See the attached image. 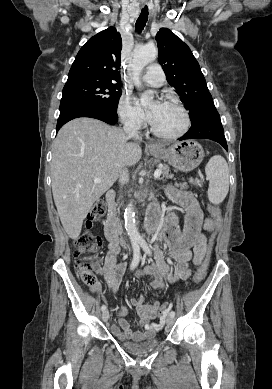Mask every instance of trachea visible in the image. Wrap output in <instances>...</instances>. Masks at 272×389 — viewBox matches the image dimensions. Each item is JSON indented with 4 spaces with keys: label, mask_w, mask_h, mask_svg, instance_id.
I'll list each match as a JSON object with an SVG mask.
<instances>
[{
    "label": "trachea",
    "mask_w": 272,
    "mask_h": 389,
    "mask_svg": "<svg viewBox=\"0 0 272 389\" xmlns=\"http://www.w3.org/2000/svg\"><path fill=\"white\" fill-rule=\"evenodd\" d=\"M147 19H148V7L145 6L144 8H142L141 13L136 21V30L138 32H141L144 29Z\"/></svg>",
    "instance_id": "1"
}]
</instances>
